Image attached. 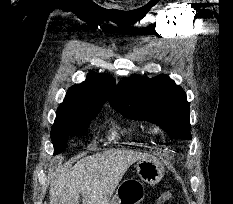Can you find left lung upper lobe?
<instances>
[{
	"instance_id": "left-lung-upper-lobe-1",
	"label": "left lung upper lobe",
	"mask_w": 233,
	"mask_h": 204,
	"mask_svg": "<svg viewBox=\"0 0 233 204\" xmlns=\"http://www.w3.org/2000/svg\"><path fill=\"white\" fill-rule=\"evenodd\" d=\"M110 104L128 119L146 120L161 126L175 138L191 139L186 94L167 75L132 76L121 80Z\"/></svg>"
}]
</instances>
